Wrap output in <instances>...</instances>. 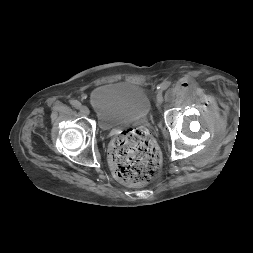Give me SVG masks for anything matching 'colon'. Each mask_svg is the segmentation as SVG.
I'll return each mask as SVG.
<instances>
[{
  "label": "colon",
  "mask_w": 253,
  "mask_h": 253,
  "mask_svg": "<svg viewBox=\"0 0 253 253\" xmlns=\"http://www.w3.org/2000/svg\"><path fill=\"white\" fill-rule=\"evenodd\" d=\"M160 161L155 142L142 128L123 130L110 148L113 174L126 185L138 186L152 181L159 172Z\"/></svg>",
  "instance_id": "1"
}]
</instances>
